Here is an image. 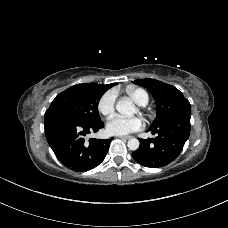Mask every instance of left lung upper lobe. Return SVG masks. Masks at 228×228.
I'll list each match as a JSON object with an SVG mask.
<instances>
[{"mask_svg": "<svg viewBox=\"0 0 228 228\" xmlns=\"http://www.w3.org/2000/svg\"><path fill=\"white\" fill-rule=\"evenodd\" d=\"M133 83L147 88L156 101L157 117L150 128L159 127L167 121L191 113L189 101L176 87L155 79H140ZM175 127L176 131L181 128L178 120Z\"/></svg>", "mask_w": 228, "mask_h": 228, "instance_id": "left-lung-upper-lobe-1", "label": "left lung upper lobe"}]
</instances>
